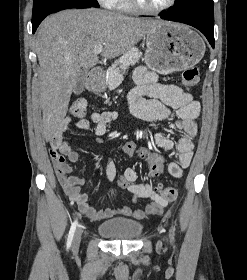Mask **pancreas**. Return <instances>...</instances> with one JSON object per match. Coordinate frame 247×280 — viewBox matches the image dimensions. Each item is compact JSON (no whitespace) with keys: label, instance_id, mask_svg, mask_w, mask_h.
Listing matches in <instances>:
<instances>
[{"label":"pancreas","instance_id":"pancreas-1","mask_svg":"<svg viewBox=\"0 0 247 280\" xmlns=\"http://www.w3.org/2000/svg\"><path fill=\"white\" fill-rule=\"evenodd\" d=\"M142 53L137 48L126 51L109 69L107 83L109 89L115 88L122 80V72L130 65H135Z\"/></svg>","mask_w":247,"mask_h":280}]
</instances>
